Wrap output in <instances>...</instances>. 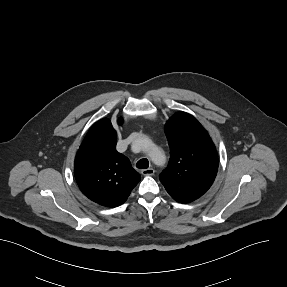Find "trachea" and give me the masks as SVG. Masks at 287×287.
Listing matches in <instances>:
<instances>
[{
    "instance_id": "obj_1",
    "label": "trachea",
    "mask_w": 287,
    "mask_h": 287,
    "mask_svg": "<svg viewBox=\"0 0 287 287\" xmlns=\"http://www.w3.org/2000/svg\"><path fill=\"white\" fill-rule=\"evenodd\" d=\"M136 167L139 169H147L149 167V161L145 158L140 159L137 163H136Z\"/></svg>"
}]
</instances>
